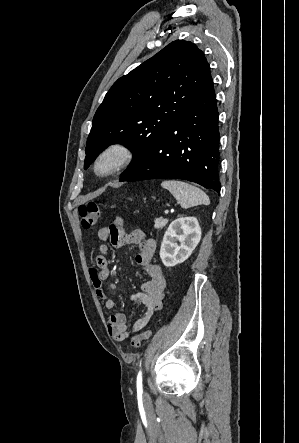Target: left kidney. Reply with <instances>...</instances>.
<instances>
[{"label": "left kidney", "mask_w": 299, "mask_h": 443, "mask_svg": "<svg viewBox=\"0 0 299 443\" xmlns=\"http://www.w3.org/2000/svg\"><path fill=\"white\" fill-rule=\"evenodd\" d=\"M201 239V228L195 217L177 218L169 225L160 248V258L166 267L184 262ZM178 242L180 245H178Z\"/></svg>", "instance_id": "5707ae66"}]
</instances>
